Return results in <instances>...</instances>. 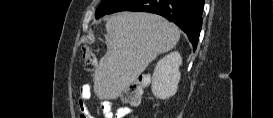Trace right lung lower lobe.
Segmentation results:
<instances>
[{
  "label": "right lung lower lobe",
  "mask_w": 273,
  "mask_h": 118,
  "mask_svg": "<svg viewBox=\"0 0 273 118\" xmlns=\"http://www.w3.org/2000/svg\"><path fill=\"white\" fill-rule=\"evenodd\" d=\"M204 0H124L111 13L119 11L151 12L178 25L196 49L202 27Z\"/></svg>",
  "instance_id": "1"
}]
</instances>
